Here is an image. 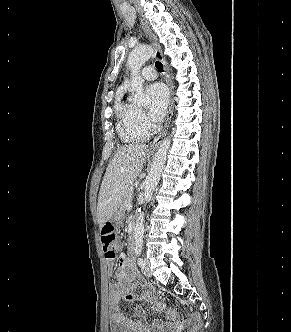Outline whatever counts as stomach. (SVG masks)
Segmentation results:
<instances>
[{"instance_id":"1","label":"stomach","mask_w":291,"mask_h":332,"mask_svg":"<svg viewBox=\"0 0 291 332\" xmlns=\"http://www.w3.org/2000/svg\"><path fill=\"white\" fill-rule=\"evenodd\" d=\"M123 218L122 211H118L111 219V222L115 227H119L122 224Z\"/></svg>"}]
</instances>
